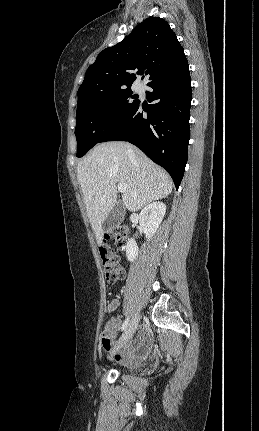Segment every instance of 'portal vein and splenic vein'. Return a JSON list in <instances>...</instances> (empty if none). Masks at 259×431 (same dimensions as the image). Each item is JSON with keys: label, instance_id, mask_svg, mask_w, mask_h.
Instances as JSON below:
<instances>
[{"label": "portal vein and splenic vein", "instance_id": "portal-vein-and-splenic-vein-1", "mask_svg": "<svg viewBox=\"0 0 259 431\" xmlns=\"http://www.w3.org/2000/svg\"><path fill=\"white\" fill-rule=\"evenodd\" d=\"M126 189H127L126 184H122V183H119V184H118V191H119V192L124 193V192L126 191Z\"/></svg>", "mask_w": 259, "mask_h": 431}]
</instances>
